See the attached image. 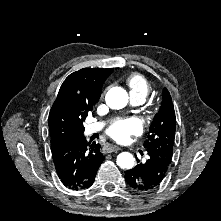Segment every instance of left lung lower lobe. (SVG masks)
Returning <instances> with one entry per match:
<instances>
[{
	"instance_id": "0a47b994",
	"label": "left lung lower lobe",
	"mask_w": 221,
	"mask_h": 221,
	"mask_svg": "<svg viewBox=\"0 0 221 221\" xmlns=\"http://www.w3.org/2000/svg\"><path fill=\"white\" fill-rule=\"evenodd\" d=\"M150 159L146 163L138 164L131 170L125 172L128 185L139 192H147L160 185L166 176L172 156L163 150L148 151Z\"/></svg>"
}]
</instances>
